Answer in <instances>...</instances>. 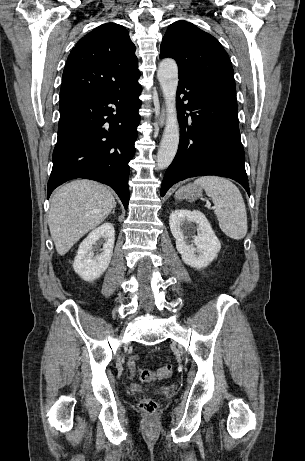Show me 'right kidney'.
I'll use <instances>...</instances> for the list:
<instances>
[{
    "label": "right kidney",
    "instance_id": "ca27d5eb",
    "mask_svg": "<svg viewBox=\"0 0 305 461\" xmlns=\"http://www.w3.org/2000/svg\"><path fill=\"white\" fill-rule=\"evenodd\" d=\"M103 238L102 252L94 256L93 245ZM115 230L111 223L107 222L94 229L82 241L74 259L75 272L85 281L92 282L98 279L108 268L113 254Z\"/></svg>",
    "mask_w": 305,
    "mask_h": 461
}]
</instances>
